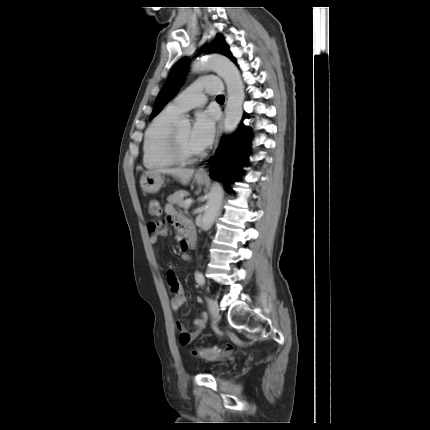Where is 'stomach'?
<instances>
[{"mask_svg": "<svg viewBox=\"0 0 430 430\" xmlns=\"http://www.w3.org/2000/svg\"><path fill=\"white\" fill-rule=\"evenodd\" d=\"M194 180L196 181L197 184L201 185L206 181V177L196 173L194 175ZM163 183H164V175L162 173H156V172L144 173L140 179L142 190L150 194L158 192L162 187Z\"/></svg>", "mask_w": 430, "mask_h": 430, "instance_id": "1", "label": "stomach"}]
</instances>
